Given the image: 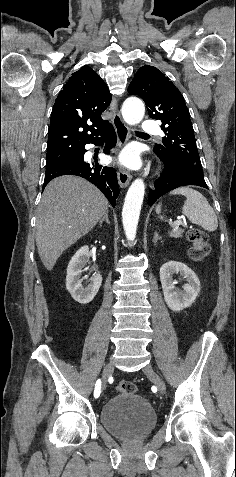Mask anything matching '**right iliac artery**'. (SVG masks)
I'll return each mask as SVG.
<instances>
[{
	"label": "right iliac artery",
	"instance_id": "right-iliac-artery-1",
	"mask_svg": "<svg viewBox=\"0 0 236 477\" xmlns=\"http://www.w3.org/2000/svg\"><path fill=\"white\" fill-rule=\"evenodd\" d=\"M100 386H101V380L98 379V380L96 381L95 390H94V397H95V399H97V400L100 399V397H101V396H100V392H101Z\"/></svg>",
	"mask_w": 236,
	"mask_h": 477
}]
</instances>
